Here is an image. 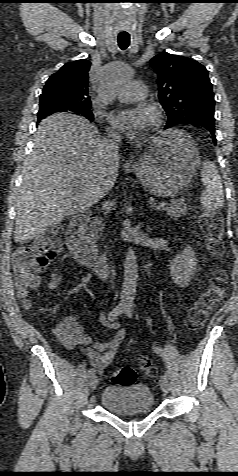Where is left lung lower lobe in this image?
Masks as SVG:
<instances>
[{"instance_id": "left-lung-lower-lobe-1", "label": "left lung lower lobe", "mask_w": 238, "mask_h": 476, "mask_svg": "<svg viewBox=\"0 0 238 476\" xmlns=\"http://www.w3.org/2000/svg\"><path fill=\"white\" fill-rule=\"evenodd\" d=\"M198 125H201L203 127H205L207 130L210 131V133L212 134V139H213V142L216 144V137H215V126H214V122H211V121H204V122H198L196 123Z\"/></svg>"}]
</instances>
